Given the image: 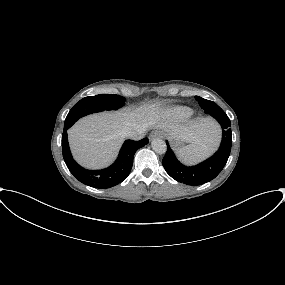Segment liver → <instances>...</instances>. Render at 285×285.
<instances>
[{"label":"liver","instance_id":"liver-1","mask_svg":"<svg viewBox=\"0 0 285 285\" xmlns=\"http://www.w3.org/2000/svg\"><path fill=\"white\" fill-rule=\"evenodd\" d=\"M164 112L158 105H143L135 110L103 112L80 119L68 130L69 143L74 158L86 168H103L117 156L128 128L160 127L171 137L199 145L217 136V126L208 119L187 125H167L162 121Z\"/></svg>","mask_w":285,"mask_h":285}]
</instances>
